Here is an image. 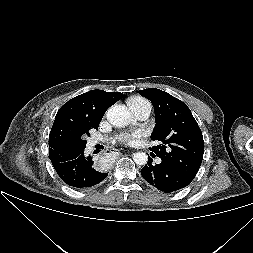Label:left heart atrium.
I'll return each instance as SVG.
<instances>
[{
    "mask_svg": "<svg viewBox=\"0 0 253 253\" xmlns=\"http://www.w3.org/2000/svg\"><path fill=\"white\" fill-rule=\"evenodd\" d=\"M141 136H142L141 131H134L131 133H122V134L118 135L115 138V140L120 143L126 144V145H131Z\"/></svg>",
    "mask_w": 253,
    "mask_h": 253,
    "instance_id": "left-heart-atrium-1",
    "label": "left heart atrium"
}]
</instances>
